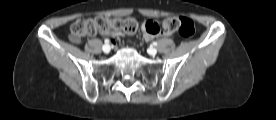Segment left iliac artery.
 <instances>
[{"label":"left iliac artery","mask_w":276,"mask_h":120,"mask_svg":"<svg viewBox=\"0 0 276 120\" xmlns=\"http://www.w3.org/2000/svg\"><path fill=\"white\" fill-rule=\"evenodd\" d=\"M152 45H153V46H157V42L154 41V42L152 43Z\"/></svg>","instance_id":"obj_1"}]
</instances>
